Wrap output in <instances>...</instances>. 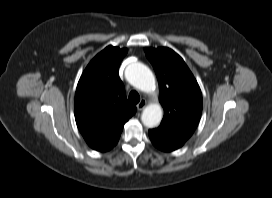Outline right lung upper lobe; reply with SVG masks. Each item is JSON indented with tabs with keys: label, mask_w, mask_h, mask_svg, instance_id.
I'll list each match as a JSON object with an SVG mask.
<instances>
[{
	"label": "right lung upper lobe",
	"mask_w": 272,
	"mask_h": 198,
	"mask_svg": "<svg viewBox=\"0 0 272 198\" xmlns=\"http://www.w3.org/2000/svg\"><path fill=\"white\" fill-rule=\"evenodd\" d=\"M127 49L108 46L84 70L75 94V119L87 144L101 150L136 112L127 101L118 69Z\"/></svg>",
	"instance_id": "right-lung-upper-lobe-1"
}]
</instances>
